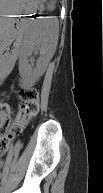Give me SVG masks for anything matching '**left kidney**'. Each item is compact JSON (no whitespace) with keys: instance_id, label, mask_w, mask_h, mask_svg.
Returning <instances> with one entry per match:
<instances>
[{"instance_id":"5707ae66","label":"left kidney","mask_w":103,"mask_h":193,"mask_svg":"<svg viewBox=\"0 0 103 193\" xmlns=\"http://www.w3.org/2000/svg\"><path fill=\"white\" fill-rule=\"evenodd\" d=\"M33 35L19 56V73L22 78L34 83L47 69L53 56V46L58 38V21L53 17L40 19L33 29ZM32 53L39 54L36 67L29 64Z\"/></svg>"}]
</instances>
